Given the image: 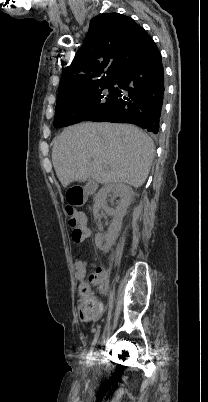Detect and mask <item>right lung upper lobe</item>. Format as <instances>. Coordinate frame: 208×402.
I'll return each mask as SVG.
<instances>
[{"label": "right lung upper lobe", "mask_w": 208, "mask_h": 402, "mask_svg": "<svg viewBox=\"0 0 208 402\" xmlns=\"http://www.w3.org/2000/svg\"><path fill=\"white\" fill-rule=\"evenodd\" d=\"M145 34L132 18L119 13L93 18L83 45L62 73L58 94L97 80H116Z\"/></svg>", "instance_id": "obj_1"}]
</instances>
